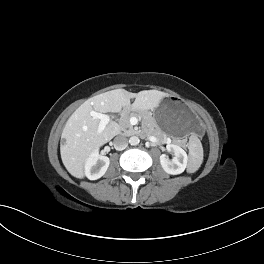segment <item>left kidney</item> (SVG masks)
<instances>
[{
    "mask_svg": "<svg viewBox=\"0 0 264 264\" xmlns=\"http://www.w3.org/2000/svg\"><path fill=\"white\" fill-rule=\"evenodd\" d=\"M166 149L174 154L172 159L165 154L160 156V164L163 170L171 175H177L184 172L188 163L186 152L176 144H167Z\"/></svg>",
    "mask_w": 264,
    "mask_h": 264,
    "instance_id": "obj_1",
    "label": "left kidney"
}]
</instances>
